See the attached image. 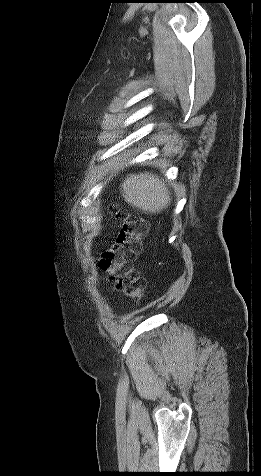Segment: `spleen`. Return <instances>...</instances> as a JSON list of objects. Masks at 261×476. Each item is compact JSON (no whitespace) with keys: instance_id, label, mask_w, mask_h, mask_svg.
<instances>
[{"instance_id":"spleen-1","label":"spleen","mask_w":261,"mask_h":476,"mask_svg":"<svg viewBox=\"0 0 261 476\" xmlns=\"http://www.w3.org/2000/svg\"><path fill=\"white\" fill-rule=\"evenodd\" d=\"M121 189L128 204L147 213H160L171 201L165 184L157 176L147 172L127 176Z\"/></svg>"}]
</instances>
